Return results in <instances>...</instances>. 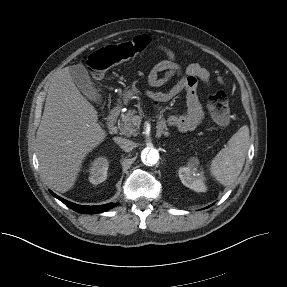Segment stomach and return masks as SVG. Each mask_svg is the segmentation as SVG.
<instances>
[{"instance_id": "stomach-1", "label": "stomach", "mask_w": 287, "mask_h": 287, "mask_svg": "<svg viewBox=\"0 0 287 287\" xmlns=\"http://www.w3.org/2000/svg\"><path fill=\"white\" fill-rule=\"evenodd\" d=\"M133 93H134L133 90L126 91L125 94H124L125 100L129 99L132 96Z\"/></svg>"}]
</instances>
